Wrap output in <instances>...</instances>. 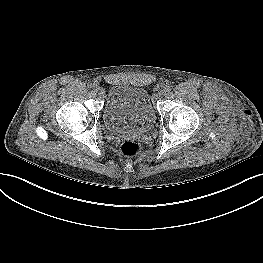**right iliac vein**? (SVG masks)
I'll return each mask as SVG.
<instances>
[{
	"mask_svg": "<svg viewBox=\"0 0 263 263\" xmlns=\"http://www.w3.org/2000/svg\"><path fill=\"white\" fill-rule=\"evenodd\" d=\"M96 91L100 94H103L104 93V90L102 88H100L99 86H97V89Z\"/></svg>",
	"mask_w": 263,
	"mask_h": 263,
	"instance_id": "1",
	"label": "right iliac vein"
}]
</instances>
